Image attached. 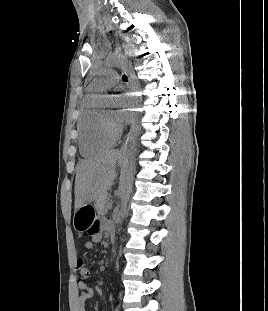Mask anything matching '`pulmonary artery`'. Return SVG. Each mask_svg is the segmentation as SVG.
<instances>
[{
  "mask_svg": "<svg viewBox=\"0 0 268 311\" xmlns=\"http://www.w3.org/2000/svg\"><path fill=\"white\" fill-rule=\"evenodd\" d=\"M119 81V76L114 71H106L96 78L91 84V90L102 91L113 87Z\"/></svg>",
  "mask_w": 268,
  "mask_h": 311,
  "instance_id": "pulmonary-artery-1",
  "label": "pulmonary artery"
}]
</instances>
